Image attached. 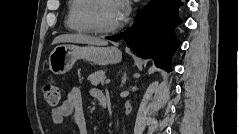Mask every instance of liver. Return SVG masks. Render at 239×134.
Wrapping results in <instances>:
<instances>
[{"instance_id": "liver-1", "label": "liver", "mask_w": 239, "mask_h": 134, "mask_svg": "<svg viewBox=\"0 0 239 134\" xmlns=\"http://www.w3.org/2000/svg\"><path fill=\"white\" fill-rule=\"evenodd\" d=\"M71 42V43H82V44H90V45H107L108 42L106 40L84 35V34H64L57 36L52 44Z\"/></svg>"}]
</instances>
